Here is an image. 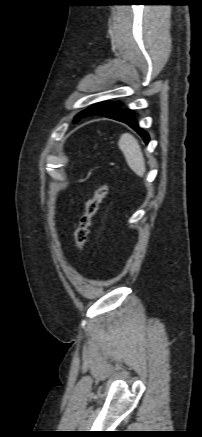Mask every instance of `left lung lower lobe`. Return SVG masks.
Segmentation results:
<instances>
[{
	"label": "left lung lower lobe",
	"mask_w": 202,
	"mask_h": 437,
	"mask_svg": "<svg viewBox=\"0 0 202 437\" xmlns=\"http://www.w3.org/2000/svg\"><path fill=\"white\" fill-rule=\"evenodd\" d=\"M105 116L107 118L115 119L128 124L143 138L146 144L149 142L148 133L143 129L139 128L137 121L135 120L134 113L131 110L117 108L114 111L105 114Z\"/></svg>",
	"instance_id": "obj_1"
}]
</instances>
